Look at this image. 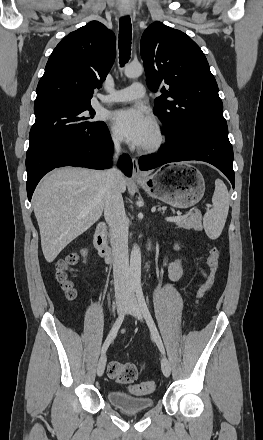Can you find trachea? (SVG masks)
<instances>
[{
	"mask_svg": "<svg viewBox=\"0 0 263 440\" xmlns=\"http://www.w3.org/2000/svg\"><path fill=\"white\" fill-rule=\"evenodd\" d=\"M132 26L129 16L122 17L119 22V59L123 66L131 55Z\"/></svg>",
	"mask_w": 263,
	"mask_h": 440,
	"instance_id": "1",
	"label": "trachea"
}]
</instances>
